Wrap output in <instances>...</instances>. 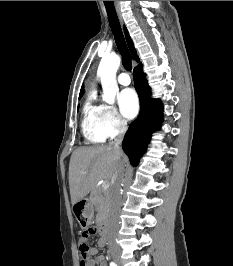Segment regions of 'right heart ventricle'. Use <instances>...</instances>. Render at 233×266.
I'll list each match as a JSON object with an SVG mask.
<instances>
[{
  "mask_svg": "<svg viewBox=\"0 0 233 266\" xmlns=\"http://www.w3.org/2000/svg\"><path fill=\"white\" fill-rule=\"evenodd\" d=\"M95 98V91H91L82 109V133L86 141L91 144L102 143L106 139L100 129L102 105L97 104Z\"/></svg>",
  "mask_w": 233,
  "mask_h": 266,
  "instance_id": "e07e8e85",
  "label": "right heart ventricle"
}]
</instances>
